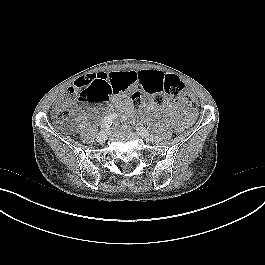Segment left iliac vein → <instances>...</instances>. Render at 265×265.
I'll use <instances>...</instances> for the list:
<instances>
[{
	"mask_svg": "<svg viewBox=\"0 0 265 265\" xmlns=\"http://www.w3.org/2000/svg\"><path fill=\"white\" fill-rule=\"evenodd\" d=\"M136 130L138 135L144 140L149 141L151 139L149 132L145 128L138 127Z\"/></svg>",
	"mask_w": 265,
	"mask_h": 265,
	"instance_id": "obj_1",
	"label": "left iliac vein"
}]
</instances>
